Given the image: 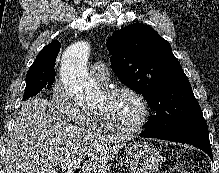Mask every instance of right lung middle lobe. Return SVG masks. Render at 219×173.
<instances>
[{
    "instance_id": "dd1d6c3e",
    "label": "right lung middle lobe",
    "mask_w": 219,
    "mask_h": 173,
    "mask_svg": "<svg viewBox=\"0 0 219 173\" xmlns=\"http://www.w3.org/2000/svg\"><path fill=\"white\" fill-rule=\"evenodd\" d=\"M54 80V74L47 73L39 67L31 66L26 75V88L23 100L35 96L43 89H49Z\"/></svg>"
}]
</instances>
